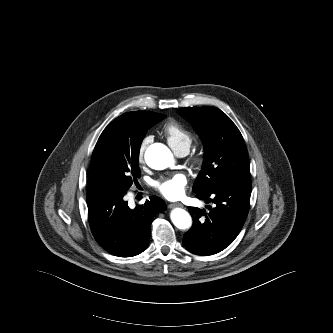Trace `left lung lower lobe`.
<instances>
[{
	"label": "left lung lower lobe",
	"mask_w": 333,
	"mask_h": 333,
	"mask_svg": "<svg viewBox=\"0 0 333 333\" xmlns=\"http://www.w3.org/2000/svg\"><path fill=\"white\" fill-rule=\"evenodd\" d=\"M251 178L237 179L196 194V197L213 202L209 211L188 207L193 227L185 233L183 243L187 250L198 255L216 254L239 234L248 214Z\"/></svg>",
	"instance_id": "1"
}]
</instances>
